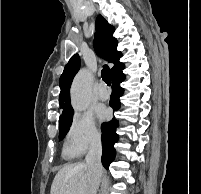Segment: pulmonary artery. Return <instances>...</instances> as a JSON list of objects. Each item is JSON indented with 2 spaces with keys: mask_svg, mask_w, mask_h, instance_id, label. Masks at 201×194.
Segmentation results:
<instances>
[{
  "mask_svg": "<svg viewBox=\"0 0 201 194\" xmlns=\"http://www.w3.org/2000/svg\"><path fill=\"white\" fill-rule=\"evenodd\" d=\"M98 98L105 101L109 98V92L104 84H101L98 89Z\"/></svg>",
  "mask_w": 201,
  "mask_h": 194,
  "instance_id": "obj_1",
  "label": "pulmonary artery"
}]
</instances>
